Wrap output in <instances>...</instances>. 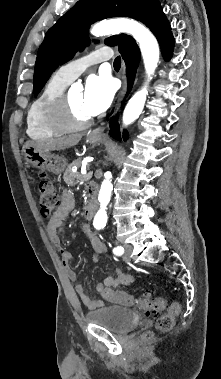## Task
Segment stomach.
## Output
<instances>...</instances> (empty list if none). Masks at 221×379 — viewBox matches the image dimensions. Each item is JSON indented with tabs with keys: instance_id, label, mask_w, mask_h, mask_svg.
<instances>
[{
	"instance_id": "obj_1",
	"label": "stomach",
	"mask_w": 221,
	"mask_h": 379,
	"mask_svg": "<svg viewBox=\"0 0 221 379\" xmlns=\"http://www.w3.org/2000/svg\"><path fill=\"white\" fill-rule=\"evenodd\" d=\"M88 141L92 145L100 144L101 137L88 135ZM27 163L35 168L47 170L54 174H61L66 166L67 160L60 156H55L49 151H44L33 146H29L24 151Z\"/></svg>"
}]
</instances>
